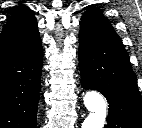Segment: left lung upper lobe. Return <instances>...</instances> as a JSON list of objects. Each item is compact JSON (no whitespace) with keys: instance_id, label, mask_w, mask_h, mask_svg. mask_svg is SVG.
<instances>
[{"instance_id":"5c2ea615","label":"left lung upper lobe","mask_w":142,"mask_h":128,"mask_svg":"<svg viewBox=\"0 0 142 128\" xmlns=\"http://www.w3.org/2000/svg\"><path fill=\"white\" fill-rule=\"evenodd\" d=\"M81 23H84L91 28L108 36L119 38L115 33L112 25L103 16L102 11L94 7H90L82 16Z\"/></svg>"}]
</instances>
